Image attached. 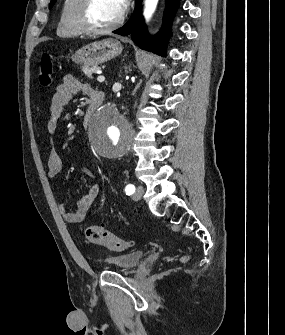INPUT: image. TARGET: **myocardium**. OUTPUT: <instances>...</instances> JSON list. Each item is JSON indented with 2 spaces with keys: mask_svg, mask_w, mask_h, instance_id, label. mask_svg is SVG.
<instances>
[{
  "mask_svg": "<svg viewBox=\"0 0 285 335\" xmlns=\"http://www.w3.org/2000/svg\"><path fill=\"white\" fill-rule=\"evenodd\" d=\"M93 1H79V5L76 13V23L78 28L83 34L89 36H97L110 33L117 29L123 21V8L127 1H122L120 14L118 18L109 26L103 28H97L92 25L90 21V9Z\"/></svg>",
  "mask_w": 285,
  "mask_h": 335,
  "instance_id": "obj_1",
  "label": "myocardium"
}]
</instances>
